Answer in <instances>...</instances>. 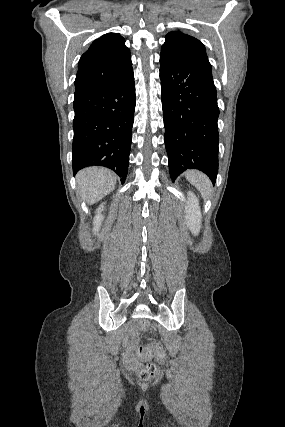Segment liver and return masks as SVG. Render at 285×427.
Wrapping results in <instances>:
<instances>
[{"label": "liver", "mask_w": 285, "mask_h": 427, "mask_svg": "<svg viewBox=\"0 0 285 427\" xmlns=\"http://www.w3.org/2000/svg\"><path fill=\"white\" fill-rule=\"evenodd\" d=\"M76 180L80 195L92 205L114 189L117 176L103 167H89L78 172Z\"/></svg>", "instance_id": "obj_1"}]
</instances>
